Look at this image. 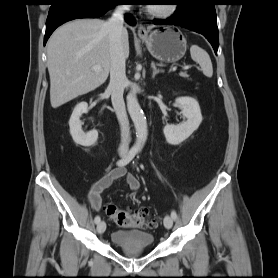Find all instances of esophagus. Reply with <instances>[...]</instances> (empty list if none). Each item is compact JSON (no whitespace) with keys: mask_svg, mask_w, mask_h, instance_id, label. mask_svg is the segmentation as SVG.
<instances>
[{"mask_svg":"<svg viewBox=\"0 0 278 278\" xmlns=\"http://www.w3.org/2000/svg\"><path fill=\"white\" fill-rule=\"evenodd\" d=\"M137 33H138L139 37H145V36L148 35V30L146 29L145 26L140 25V26L138 27Z\"/></svg>","mask_w":278,"mask_h":278,"instance_id":"1","label":"esophagus"}]
</instances>
